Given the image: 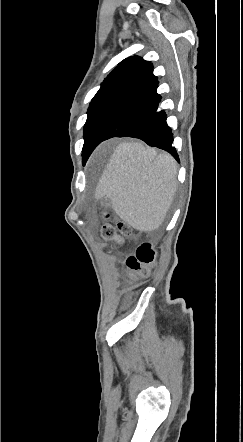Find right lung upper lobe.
Instances as JSON below:
<instances>
[{"mask_svg": "<svg viewBox=\"0 0 243 442\" xmlns=\"http://www.w3.org/2000/svg\"><path fill=\"white\" fill-rule=\"evenodd\" d=\"M155 80L157 77L153 75L151 62L135 55L119 63L105 78L94 98L109 95L125 97Z\"/></svg>", "mask_w": 243, "mask_h": 442, "instance_id": "right-lung-upper-lobe-1", "label": "right lung upper lobe"}]
</instances>
